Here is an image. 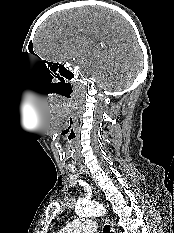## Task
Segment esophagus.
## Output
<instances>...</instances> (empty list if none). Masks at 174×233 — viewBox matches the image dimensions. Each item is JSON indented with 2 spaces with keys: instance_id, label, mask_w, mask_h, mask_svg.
I'll list each match as a JSON object with an SVG mask.
<instances>
[{
  "instance_id": "obj_1",
  "label": "esophagus",
  "mask_w": 174,
  "mask_h": 233,
  "mask_svg": "<svg viewBox=\"0 0 174 233\" xmlns=\"http://www.w3.org/2000/svg\"><path fill=\"white\" fill-rule=\"evenodd\" d=\"M107 221H108V223H109V225H110V232H111V233H116V232H115V228H114V226H113V223H112L109 219H107Z\"/></svg>"
}]
</instances>
